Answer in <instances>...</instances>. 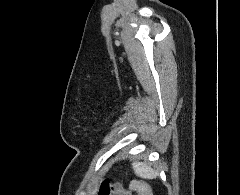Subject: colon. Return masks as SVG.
I'll return each instance as SVG.
<instances>
[{
	"label": "colon",
	"instance_id": "obj_1",
	"mask_svg": "<svg viewBox=\"0 0 240 195\" xmlns=\"http://www.w3.org/2000/svg\"><path fill=\"white\" fill-rule=\"evenodd\" d=\"M133 187H141V192L144 195H153V190L148 189V184L145 180H133ZM99 195H130L125 192L120 185H113L109 180H103L99 185Z\"/></svg>",
	"mask_w": 240,
	"mask_h": 195
}]
</instances>
